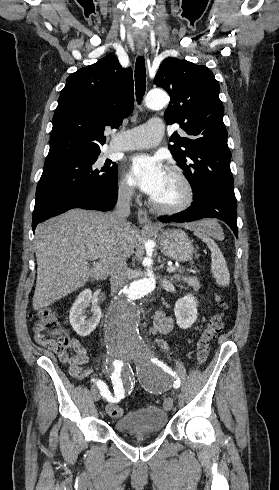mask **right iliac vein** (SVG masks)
Instances as JSON below:
<instances>
[{
    "instance_id": "1",
    "label": "right iliac vein",
    "mask_w": 279,
    "mask_h": 490,
    "mask_svg": "<svg viewBox=\"0 0 279 490\" xmlns=\"http://www.w3.org/2000/svg\"><path fill=\"white\" fill-rule=\"evenodd\" d=\"M114 358H116V356H115V355L111 356V357H110V360H113ZM94 395H95V400H96V401H98V400H99V398H100V394H99V392L97 391V389H96V391L94 392Z\"/></svg>"
}]
</instances>
